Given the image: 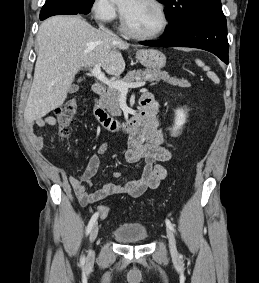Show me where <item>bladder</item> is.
I'll return each mask as SVG.
<instances>
[{
	"mask_svg": "<svg viewBox=\"0 0 259 283\" xmlns=\"http://www.w3.org/2000/svg\"><path fill=\"white\" fill-rule=\"evenodd\" d=\"M113 236L120 242H141L148 239V229L142 223H123L115 228Z\"/></svg>",
	"mask_w": 259,
	"mask_h": 283,
	"instance_id": "1",
	"label": "bladder"
}]
</instances>
